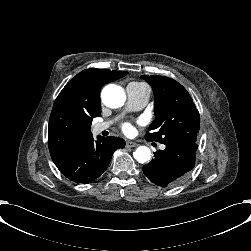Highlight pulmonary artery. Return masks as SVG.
I'll return each instance as SVG.
<instances>
[{"label": "pulmonary artery", "mask_w": 251, "mask_h": 251, "mask_svg": "<svg viewBox=\"0 0 251 251\" xmlns=\"http://www.w3.org/2000/svg\"><path fill=\"white\" fill-rule=\"evenodd\" d=\"M145 89L135 83H130L127 85L126 90L128 95V109H142L147 104L149 95L151 93V88L145 85ZM111 124L112 121L97 123L93 125L92 131L94 134H100L103 131L107 130ZM160 148L164 149L165 146L161 145Z\"/></svg>", "instance_id": "pulmonary-artery-1"}]
</instances>
